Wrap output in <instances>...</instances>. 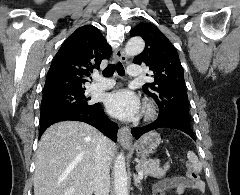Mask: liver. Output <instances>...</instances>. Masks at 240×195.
Listing matches in <instances>:
<instances>
[{
	"label": "liver",
	"instance_id": "obj_1",
	"mask_svg": "<svg viewBox=\"0 0 240 195\" xmlns=\"http://www.w3.org/2000/svg\"><path fill=\"white\" fill-rule=\"evenodd\" d=\"M102 133L84 121H59L44 131L38 145L34 195H92L96 147ZM116 145L110 141L108 159ZM74 189V193H69Z\"/></svg>",
	"mask_w": 240,
	"mask_h": 195
}]
</instances>
